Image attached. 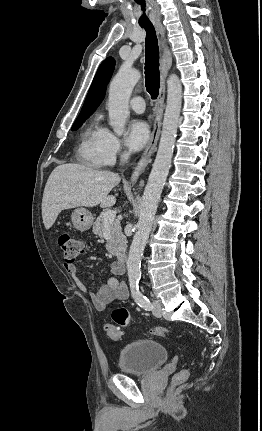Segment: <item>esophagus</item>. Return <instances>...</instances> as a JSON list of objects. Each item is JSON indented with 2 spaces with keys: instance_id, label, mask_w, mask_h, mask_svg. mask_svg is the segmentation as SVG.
I'll return each mask as SVG.
<instances>
[{
  "instance_id": "obj_1",
  "label": "esophagus",
  "mask_w": 262,
  "mask_h": 431,
  "mask_svg": "<svg viewBox=\"0 0 262 431\" xmlns=\"http://www.w3.org/2000/svg\"><path fill=\"white\" fill-rule=\"evenodd\" d=\"M157 29L160 34V43L162 47L161 61H160V89H159V95L156 101L155 120H154V126L151 133V137L133 175L130 178V184L132 185H134L137 182L140 175L145 170L146 166L150 161L152 154L155 152L157 147V143L161 132L162 117H163V111H164L165 79L172 64L171 51L167 44V39H166V30L162 25H158Z\"/></svg>"
}]
</instances>
